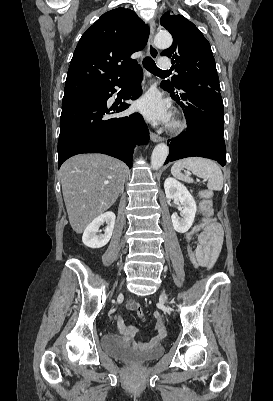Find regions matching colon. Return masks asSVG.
<instances>
[{
    "instance_id": "5ec220e1",
    "label": "colon",
    "mask_w": 273,
    "mask_h": 401,
    "mask_svg": "<svg viewBox=\"0 0 273 401\" xmlns=\"http://www.w3.org/2000/svg\"><path fill=\"white\" fill-rule=\"evenodd\" d=\"M205 232L200 233L201 241H219L221 226L211 217H206L205 221ZM144 305L138 304L136 308V314L138 316L144 315Z\"/></svg>"
}]
</instances>
